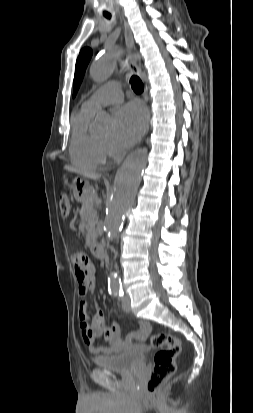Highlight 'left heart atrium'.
<instances>
[{
  "instance_id": "obj_1",
  "label": "left heart atrium",
  "mask_w": 253,
  "mask_h": 413,
  "mask_svg": "<svg viewBox=\"0 0 253 413\" xmlns=\"http://www.w3.org/2000/svg\"><path fill=\"white\" fill-rule=\"evenodd\" d=\"M146 128V112L136 102L124 105L116 115L115 139L121 146L135 143Z\"/></svg>"
}]
</instances>
